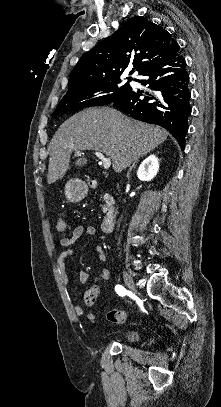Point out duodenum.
I'll return each instance as SVG.
<instances>
[{"label": "duodenum", "instance_id": "1", "mask_svg": "<svg viewBox=\"0 0 221 407\" xmlns=\"http://www.w3.org/2000/svg\"><path fill=\"white\" fill-rule=\"evenodd\" d=\"M91 186H96V185L91 183ZM118 214H119V210L114 207H112L108 210V212L102 222V229L104 232H108L111 229Z\"/></svg>", "mask_w": 221, "mask_h": 407}]
</instances>
